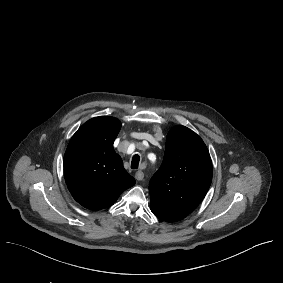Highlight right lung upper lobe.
Segmentation results:
<instances>
[{
	"instance_id": "1",
	"label": "right lung upper lobe",
	"mask_w": 283,
	"mask_h": 283,
	"mask_svg": "<svg viewBox=\"0 0 283 283\" xmlns=\"http://www.w3.org/2000/svg\"><path fill=\"white\" fill-rule=\"evenodd\" d=\"M121 122L113 117H95L84 123L71 138L64 156V176L74 199L90 210L115 203L135 184L124 169L113 143Z\"/></svg>"
}]
</instances>
